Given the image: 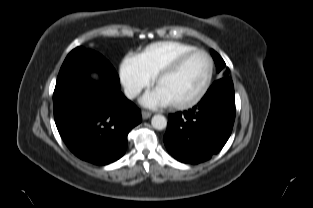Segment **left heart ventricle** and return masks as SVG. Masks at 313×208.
Here are the masks:
<instances>
[{
  "instance_id": "left-heart-ventricle-1",
  "label": "left heart ventricle",
  "mask_w": 313,
  "mask_h": 208,
  "mask_svg": "<svg viewBox=\"0 0 313 208\" xmlns=\"http://www.w3.org/2000/svg\"><path fill=\"white\" fill-rule=\"evenodd\" d=\"M208 60L203 54L189 57L172 75L163 79L156 90L170 103L184 102L201 90L208 74Z\"/></svg>"
}]
</instances>
